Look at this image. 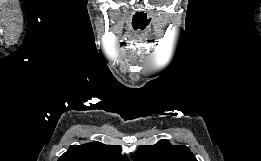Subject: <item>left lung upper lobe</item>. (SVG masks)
I'll return each instance as SVG.
<instances>
[{
  "label": "left lung upper lobe",
  "mask_w": 261,
  "mask_h": 161,
  "mask_svg": "<svg viewBox=\"0 0 261 161\" xmlns=\"http://www.w3.org/2000/svg\"><path fill=\"white\" fill-rule=\"evenodd\" d=\"M134 161H197L185 145H172L160 140L155 145L140 146Z\"/></svg>",
  "instance_id": "1"
}]
</instances>
